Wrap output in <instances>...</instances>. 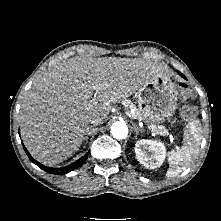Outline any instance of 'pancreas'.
I'll list each match as a JSON object with an SVG mask.
<instances>
[{
	"label": "pancreas",
	"instance_id": "pancreas-1",
	"mask_svg": "<svg viewBox=\"0 0 221 221\" xmlns=\"http://www.w3.org/2000/svg\"><path fill=\"white\" fill-rule=\"evenodd\" d=\"M126 104L130 107L133 106V104L131 102H126ZM131 117L134 118V119H138L140 118V113L139 111L135 110L134 113L131 114ZM149 128L151 130H154L156 131L157 133L161 134V135H167L168 134V131L167 129L164 127V126H156V125H152V126H149Z\"/></svg>",
	"mask_w": 221,
	"mask_h": 221
}]
</instances>
